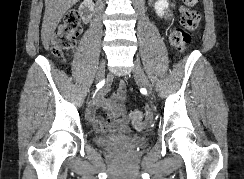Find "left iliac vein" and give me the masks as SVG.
<instances>
[{
    "label": "left iliac vein",
    "instance_id": "4c4485c4",
    "mask_svg": "<svg viewBox=\"0 0 244 179\" xmlns=\"http://www.w3.org/2000/svg\"><path fill=\"white\" fill-rule=\"evenodd\" d=\"M133 73H134V77L136 78V80H138L141 83V85L147 89V93H148L149 97L152 98L153 93H152V89H151V84L148 81L144 71L142 70V68L140 67V65L137 62L134 63Z\"/></svg>",
    "mask_w": 244,
    "mask_h": 179
}]
</instances>
